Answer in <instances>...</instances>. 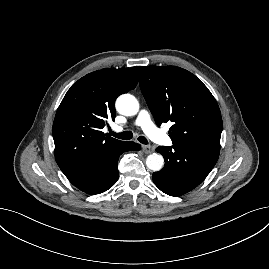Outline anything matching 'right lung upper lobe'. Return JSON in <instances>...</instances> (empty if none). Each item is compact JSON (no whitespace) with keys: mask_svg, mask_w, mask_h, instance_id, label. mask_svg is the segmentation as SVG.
I'll use <instances>...</instances> for the list:
<instances>
[{"mask_svg":"<svg viewBox=\"0 0 269 269\" xmlns=\"http://www.w3.org/2000/svg\"><path fill=\"white\" fill-rule=\"evenodd\" d=\"M141 66L102 69L79 79L64 96L53 123L55 160L67 178L78 175L123 141L101 129L115 119V100L134 89Z\"/></svg>","mask_w":269,"mask_h":269,"instance_id":"1","label":"right lung upper lobe"}]
</instances>
